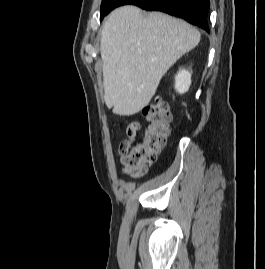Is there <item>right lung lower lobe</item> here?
Instances as JSON below:
<instances>
[{
    "instance_id": "1",
    "label": "right lung lower lobe",
    "mask_w": 265,
    "mask_h": 269,
    "mask_svg": "<svg viewBox=\"0 0 265 269\" xmlns=\"http://www.w3.org/2000/svg\"><path fill=\"white\" fill-rule=\"evenodd\" d=\"M126 4L137 5L149 11H162L183 18L209 32V0H114L106 14L114 8Z\"/></svg>"
}]
</instances>
